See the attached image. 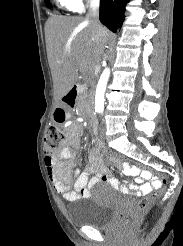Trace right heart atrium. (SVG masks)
<instances>
[{
	"mask_svg": "<svg viewBox=\"0 0 183 246\" xmlns=\"http://www.w3.org/2000/svg\"><path fill=\"white\" fill-rule=\"evenodd\" d=\"M94 0H72L76 9H82L85 2H91Z\"/></svg>",
	"mask_w": 183,
	"mask_h": 246,
	"instance_id": "1",
	"label": "right heart atrium"
}]
</instances>
